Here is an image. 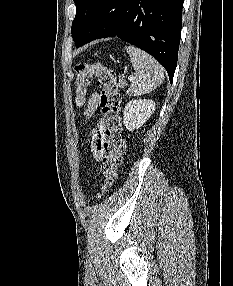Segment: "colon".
<instances>
[{"label": "colon", "instance_id": "obj_1", "mask_svg": "<svg viewBox=\"0 0 233 286\" xmlns=\"http://www.w3.org/2000/svg\"><path fill=\"white\" fill-rule=\"evenodd\" d=\"M75 71L76 103H84L91 79H95L100 88L99 105L104 115L106 140L104 142L105 155L102 158V174L104 183L102 192L110 188L118 177L125 152V143L122 136L121 117L119 115L121 97L119 94L116 76L113 70L100 62L78 63Z\"/></svg>", "mask_w": 233, "mask_h": 286}]
</instances>
